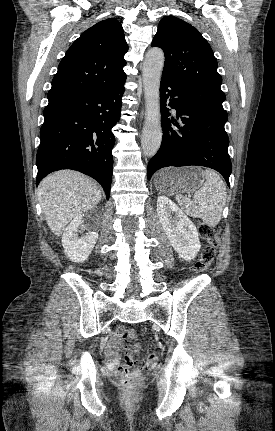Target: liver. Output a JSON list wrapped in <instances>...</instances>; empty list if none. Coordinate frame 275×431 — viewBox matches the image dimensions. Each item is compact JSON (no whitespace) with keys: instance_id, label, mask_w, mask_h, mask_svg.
<instances>
[{"instance_id":"obj_1","label":"liver","mask_w":275,"mask_h":431,"mask_svg":"<svg viewBox=\"0 0 275 431\" xmlns=\"http://www.w3.org/2000/svg\"><path fill=\"white\" fill-rule=\"evenodd\" d=\"M38 198L50 230L60 236L73 218L100 202L101 189L84 174L62 170L41 181Z\"/></svg>"}]
</instances>
